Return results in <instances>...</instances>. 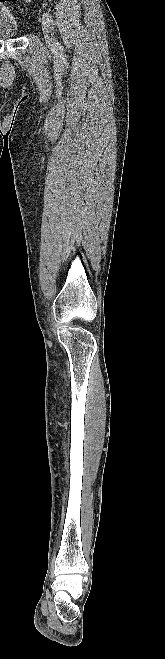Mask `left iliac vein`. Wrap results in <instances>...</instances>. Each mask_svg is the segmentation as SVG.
I'll list each match as a JSON object with an SVG mask.
<instances>
[{
    "label": "left iliac vein",
    "mask_w": 165,
    "mask_h": 659,
    "mask_svg": "<svg viewBox=\"0 0 165 659\" xmlns=\"http://www.w3.org/2000/svg\"><path fill=\"white\" fill-rule=\"evenodd\" d=\"M42 31H43V33H44V37H45L46 43H47V44H51V43L53 42V38H52V36H51V34H50V27H49V24H48V22H47L45 19L42 20Z\"/></svg>",
    "instance_id": "4c4485c4"
}]
</instances>
